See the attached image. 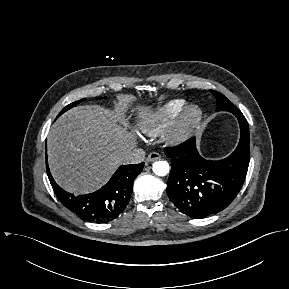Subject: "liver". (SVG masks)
I'll use <instances>...</instances> for the list:
<instances>
[{
	"mask_svg": "<svg viewBox=\"0 0 289 289\" xmlns=\"http://www.w3.org/2000/svg\"><path fill=\"white\" fill-rule=\"evenodd\" d=\"M141 113L151 116L148 109ZM135 144L114 112L99 106L75 107L53 124L48 135L50 170L65 190L87 193L108 181Z\"/></svg>",
	"mask_w": 289,
	"mask_h": 289,
	"instance_id": "liver-1",
	"label": "liver"
}]
</instances>
